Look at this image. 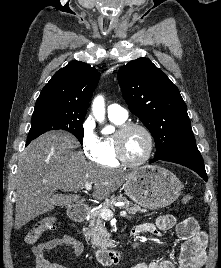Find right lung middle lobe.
<instances>
[{"label":"right lung middle lobe","mask_w":221,"mask_h":268,"mask_svg":"<svg viewBox=\"0 0 221 268\" xmlns=\"http://www.w3.org/2000/svg\"><path fill=\"white\" fill-rule=\"evenodd\" d=\"M84 118V114L63 110L48 109L34 111L27 139H35L44 132L59 129L72 133L82 143L84 134L82 124Z\"/></svg>","instance_id":"1"}]
</instances>
